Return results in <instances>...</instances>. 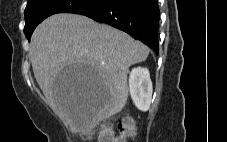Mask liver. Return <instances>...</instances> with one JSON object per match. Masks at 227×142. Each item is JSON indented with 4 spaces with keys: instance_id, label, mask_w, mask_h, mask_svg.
I'll return each mask as SVG.
<instances>
[{
    "instance_id": "obj_1",
    "label": "liver",
    "mask_w": 227,
    "mask_h": 142,
    "mask_svg": "<svg viewBox=\"0 0 227 142\" xmlns=\"http://www.w3.org/2000/svg\"><path fill=\"white\" fill-rule=\"evenodd\" d=\"M149 48L131 36L78 14H55L35 29L30 57L36 81L47 102L74 131L92 129L120 112L128 99L127 74L143 62ZM66 61H87L100 78L93 88H62L55 81ZM71 95V93H76Z\"/></svg>"
}]
</instances>
